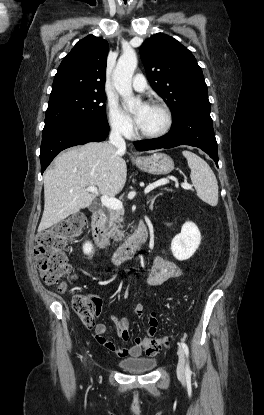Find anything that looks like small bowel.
Here are the masks:
<instances>
[{
	"mask_svg": "<svg viewBox=\"0 0 264 415\" xmlns=\"http://www.w3.org/2000/svg\"><path fill=\"white\" fill-rule=\"evenodd\" d=\"M177 274L176 265L173 260L166 257H154L152 259V266L145 276L144 282L149 286H157L169 278ZM99 308H101L100 303H98ZM145 304L143 302H137L134 305V315L138 316L145 312ZM110 318H113L110 315ZM148 320V333L153 335L158 327L157 315L155 313L150 314L147 317ZM115 328L117 334L124 340L129 339V320L128 319H118L115 320ZM108 328L105 324H98L95 327V338L97 342L105 347L106 349L114 352L115 354L127 358H138L141 356L142 350L145 348L144 342L140 338L135 339V343L127 349H120L116 345L107 340L104 337V334L107 332Z\"/></svg>",
	"mask_w": 264,
	"mask_h": 415,
	"instance_id": "c3829d8e",
	"label": "small bowel"
}]
</instances>
